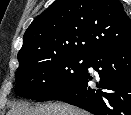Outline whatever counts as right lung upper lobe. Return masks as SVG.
<instances>
[{
  "instance_id": "right-lung-upper-lobe-1",
  "label": "right lung upper lobe",
  "mask_w": 131,
  "mask_h": 115,
  "mask_svg": "<svg viewBox=\"0 0 131 115\" xmlns=\"http://www.w3.org/2000/svg\"><path fill=\"white\" fill-rule=\"evenodd\" d=\"M131 46V19L118 0H57L26 30L19 68L54 54L91 58ZM18 68V69H19Z\"/></svg>"
}]
</instances>
